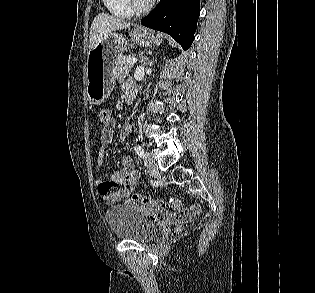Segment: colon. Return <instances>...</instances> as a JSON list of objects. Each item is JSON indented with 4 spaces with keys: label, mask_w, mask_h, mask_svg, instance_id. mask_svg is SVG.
<instances>
[{
    "label": "colon",
    "mask_w": 315,
    "mask_h": 293,
    "mask_svg": "<svg viewBox=\"0 0 315 293\" xmlns=\"http://www.w3.org/2000/svg\"><path fill=\"white\" fill-rule=\"evenodd\" d=\"M110 113L106 109H100L98 111V119L101 125H105L109 120ZM129 202L131 204H141L145 206H155L161 208L160 211H165L163 208L165 207L166 203L159 199H153L148 196H142L139 194H133L129 198ZM169 206L177 213L176 220L180 223V227L188 225L193 216L195 215L197 209L195 207L182 209L181 208V201L179 198L172 197L169 200Z\"/></svg>",
    "instance_id": "obj_1"
}]
</instances>
